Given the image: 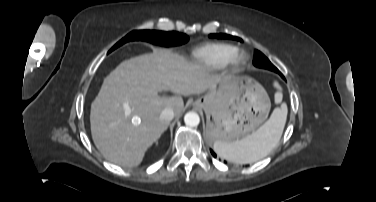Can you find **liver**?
<instances>
[{
    "instance_id": "obj_1",
    "label": "liver",
    "mask_w": 376,
    "mask_h": 202,
    "mask_svg": "<svg viewBox=\"0 0 376 202\" xmlns=\"http://www.w3.org/2000/svg\"><path fill=\"white\" fill-rule=\"evenodd\" d=\"M221 80L170 49H154L151 54L121 62L104 79L91 104L94 144L108 161L138 166L169 125L160 119L161 112L170 107L180 116L184 107L181 95L202 94ZM160 91L176 95L162 97Z\"/></svg>"
}]
</instances>
